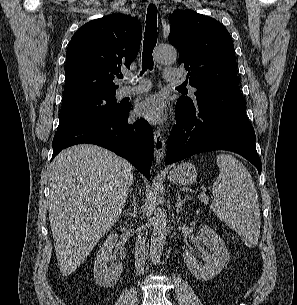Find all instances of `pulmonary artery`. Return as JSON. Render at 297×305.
I'll return each mask as SVG.
<instances>
[{
  "label": "pulmonary artery",
  "instance_id": "e3ab8cb5",
  "mask_svg": "<svg viewBox=\"0 0 297 305\" xmlns=\"http://www.w3.org/2000/svg\"><path fill=\"white\" fill-rule=\"evenodd\" d=\"M181 71L176 69H167L164 72V78L167 82L177 83L180 82ZM128 78L133 77V75H128ZM150 89V85L146 81H141L135 86H122L119 89L120 97H129L133 95L142 94ZM195 88H191L192 92H195Z\"/></svg>",
  "mask_w": 297,
  "mask_h": 305
}]
</instances>
